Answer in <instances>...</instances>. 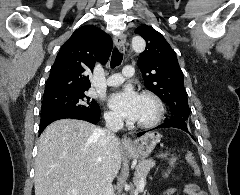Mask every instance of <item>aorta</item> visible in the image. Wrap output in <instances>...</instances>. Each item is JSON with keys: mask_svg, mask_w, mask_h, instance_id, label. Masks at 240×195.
Returning a JSON list of instances; mask_svg holds the SVG:
<instances>
[{"mask_svg": "<svg viewBox=\"0 0 240 195\" xmlns=\"http://www.w3.org/2000/svg\"><path fill=\"white\" fill-rule=\"evenodd\" d=\"M145 40L143 38H133L132 40V48L134 52H144L145 50Z\"/></svg>", "mask_w": 240, "mask_h": 195, "instance_id": "aorta-1", "label": "aorta"}]
</instances>
